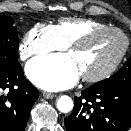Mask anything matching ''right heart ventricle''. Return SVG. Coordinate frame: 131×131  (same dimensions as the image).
<instances>
[{
	"instance_id": "e07e8e85",
	"label": "right heart ventricle",
	"mask_w": 131,
	"mask_h": 131,
	"mask_svg": "<svg viewBox=\"0 0 131 131\" xmlns=\"http://www.w3.org/2000/svg\"><path fill=\"white\" fill-rule=\"evenodd\" d=\"M107 26L103 22L90 18H62L53 25L59 40L64 46L90 30Z\"/></svg>"
}]
</instances>
